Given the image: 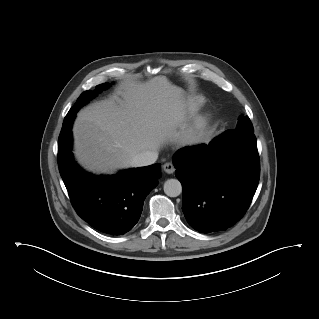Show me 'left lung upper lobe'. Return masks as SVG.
Segmentation results:
<instances>
[{
	"label": "left lung upper lobe",
	"mask_w": 319,
	"mask_h": 319,
	"mask_svg": "<svg viewBox=\"0 0 319 319\" xmlns=\"http://www.w3.org/2000/svg\"><path fill=\"white\" fill-rule=\"evenodd\" d=\"M236 131H240V132H245V133H250L253 134V126L250 122V119L248 116H240L238 118V123L236 126Z\"/></svg>",
	"instance_id": "obj_1"
}]
</instances>
